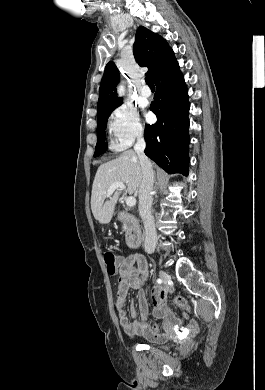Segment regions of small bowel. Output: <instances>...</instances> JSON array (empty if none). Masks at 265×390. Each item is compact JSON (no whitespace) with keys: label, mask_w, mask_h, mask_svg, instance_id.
Segmentation results:
<instances>
[{"label":"small bowel","mask_w":265,"mask_h":390,"mask_svg":"<svg viewBox=\"0 0 265 390\" xmlns=\"http://www.w3.org/2000/svg\"><path fill=\"white\" fill-rule=\"evenodd\" d=\"M147 275L148 264L143 255L136 253L119 258L118 286L115 298L118 321L122 330L128 335H143L155 341L164 340L167 335L148 321L150 304L146 292ZM130 288L138 291L140 319H136L137 310L134 303L131 304L130 310L133 320L128 318L125 310L126 298ZM167 292V289L162 287H155L152 290L150 300L154 308V317L175 322L177 318L166 303ZM197 330L198 323L191 320L182 331L190 335L196 333Z\"/></svg>","instance_id":"obj_1"}]
</instances>
